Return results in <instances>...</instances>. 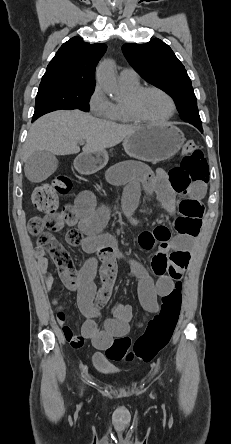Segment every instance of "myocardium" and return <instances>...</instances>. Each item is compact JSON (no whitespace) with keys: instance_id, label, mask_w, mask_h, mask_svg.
Returning a JSON list of instances; mask_svg holds the SVG:
<instances>
[{"instance_id":"obj_1","label":"myocardium","mask_w":231,"mask_h":444,"mask_svg":"<svg viewBox=\"0 0 231 444\" xmlns=\"http://www.w3.org/2000/svg\"><path fill=\"white\" fill-rule=\"evenodd\" d=\"M148 91H156L159 92L160 94H162L163 96H165L167 98V100L170 103V113L160 119V120H149L144 118L143 116H141V114L139 113L138 110V102L140 100V98L142 97V95ZM125 106H126V110L128 115L130 116V118L137 123H142V124H150V125H159V124H163L167 121H169L170 119L173 118V116L176 113V103L173 99V97L166 92L164 89L157 87V86H142L139 87L138 89H136L135 91H133L132 93H130L128 95V98L126 99L125 102Z\"/></svg>"}]
</instances>
